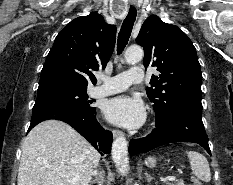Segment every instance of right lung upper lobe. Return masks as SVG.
Masks as SVG:
<instances>
[{"label": "right lung upper lobe", "instance_id": "obj_1", "mask_svg": "<svg viewBox=\"0 0 233 185\" xmlns=\"http://www.w3.org/2000/svg\"><path fill=\"white\" fill-rule=\"evenodd\" d=\"M115 25L98 13L75 18L57 35L41 71L38 90L86 89L96 83L92 71L106 67L115 45Z\"/></svg>", "mask_w": 233, "mask_h": 185}]
</instances>
